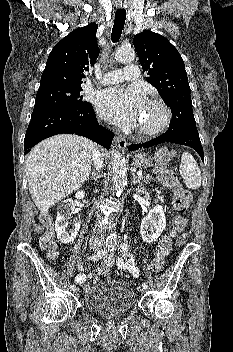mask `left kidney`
Listing matches in <instances>:
<instances>
[{
	"mask_svg": "<svg viewBox=\"0 0 233 352\" xmlns=\"http://www.w3.org/2000/svg\"><path fill=\"white\" fill-rule=\"evenodd\" d=\"M166 228V217L161 205L153 207L144 217L140 226V233L147 243L155 242Z\"/></svg>",
	"mask_w": 233,
	"mask_h": 352,
	"instance_id": "obj_1",
	"label": "left kidney"
}]
</instances>
